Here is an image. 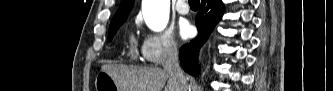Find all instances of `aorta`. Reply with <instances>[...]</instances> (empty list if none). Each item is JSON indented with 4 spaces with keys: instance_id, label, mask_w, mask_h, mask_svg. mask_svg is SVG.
Masks as SVG:
<instances>
[{
    "instance_id": "762f6f07",
    "label": "aorta",
    "mask_w": 333,
    "mask_h": 91,
    "mask_svg": "<svg viewBox=\"0 0 333 91\" xmlns=\"http://www.w3.org/2000/svg\"><path fill=\"white\" fill-rule=\"evenodd\" d=\"M170 0H143L142 11L147 26L162 31L169 20Z\"/></svg>"
}]
</instances>
